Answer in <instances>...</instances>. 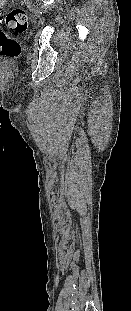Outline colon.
I'll return each mask as SVG.
<instances>
[{
	"mask_svg": "<svg viewBox=\"0 0 131 311\" xmlns=\"http://www.w3.org/2000/svg\"><path fill=\"white\" fill-rule=\"evenodd\" d=\"M5 0H0V11L5 5ZM28 24L27 12L22 8H14L9 11L4 18L0 16V57L14 58L20 53V44L17 40L21 36Z\"/></svg>",
	"mask_w": 131,
	"mask_h": 311,
	"instance_id": "1",
	"label": "colon"
}]
</instances>
